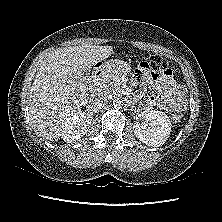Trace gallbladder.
Returning a JSON list of instances; mask_svg holds the SVG:
<instances>
[{
	"label": "gallbladder",
	"mask_w": 222,
	"mask_h": 222,
	"mask_svg": "<svg viewBox=\"0 0 222 222\" xmlns=\"http://www.w3.org/2000/svg\"><path fill=\"white\" fill-rule=\"evenodd\" d=\"M84 76L87 79L89 77V74L86 72Z\"/></svg>",
	"instance_id": "1"
}]
</instances>
